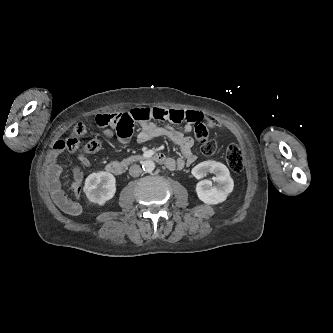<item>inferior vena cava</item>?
Returning a JSON list of instances; mask_svg holds the SVG:
<instances>
[{
	"label": "inferior vena cava",
	"instance_id": "obj_1",
	"mask_svg": "<svg viewBox=\"0 0 333 333\" xmlns=\"http://www.w3.org/2000/svg\"><path fill=\"white\" fill-rule=\"evenodd\" d=\"M141 172H142V169L139 165H133L129 169V174L132 177H138L141 174Z\"/></svg>",
	"mask_w": 333,
	"mask_h": 333
}]
</instances>
